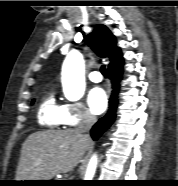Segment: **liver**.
I'll use <instances>...</instances> for the list:
<instances>
[{
    "mask_svg": "<svg viewBox=\"0 0 178 186\" xmlns=\"http://www.w3.org/2000/svg\"><path fill=\"white\" fill-rule=\"evenodd\" d=\"M91 143L76 129L47 130L31 134L24 142L17 180H50L69 172L81 161Z\"/></svg>",
    "mask_w": 178,
    "mask_h": 186,
    "instance_id": "1",
    "label": "liver"
}]
</instances>
